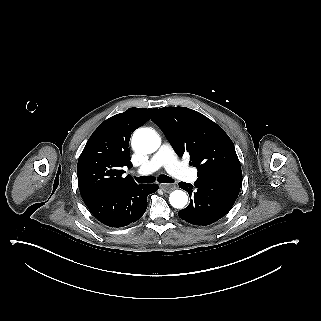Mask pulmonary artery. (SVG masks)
<instances>
[{
  "label": "pulmonary artery",
  "mask_w": 321,
  "mask_h": 321,
  "mask_svg": "<svg viewBox=\"0 0 321 321\" xmlns=\"http://www.w3.org/2000/svg\"><path fill=\"white\" fill-rule=\"evenodd\" d=\"M168 147L169 144L164 142L150 160L144 161L142 164L143 171L151 173L157 171L159 167L167 166L172 178L185 182L194 180L196 173L193 166L190 164L182 166L180 162L176 161L173 150Z\"/></svg>",
  "instance_id": "obj_1"
}]
</instances>
